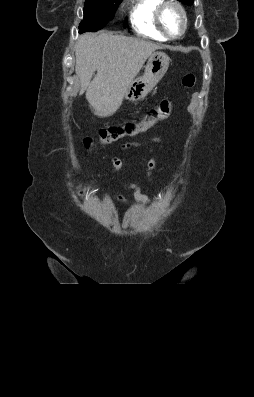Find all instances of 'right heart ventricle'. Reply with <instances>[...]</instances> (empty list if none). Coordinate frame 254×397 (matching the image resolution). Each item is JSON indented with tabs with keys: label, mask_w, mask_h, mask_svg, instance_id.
<instances>
[{
	"label": "right heart ventricle",
	"mask_w": 254,
	"mask_h": 397,
	"mask_svg": "<svg viewBox=\"0 0 254 397\" xmlns=\"http://www.w3.org/2000/svg\"><path fill=\"white\" fill-rule=\"evenodd\" d=\"M161 2L162 0H131L129 18L138 34L157 41L167 40L155 21L156 9Z\"/></svg>",
	"instance_id": "obj_1"
}]
</instances>
